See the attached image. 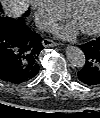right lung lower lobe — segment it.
Listing matches in <instances>:
<instances>
[{"mask_svg": "<svg viewBox=\"0 0 100 118\" xmlns=\"http://www.w3.org/2000/svg\"><path fill=\"white\" fill-rule=\"evenodd\" d=\"M42 38L33 32L24 18L0 20V79L20 84L39 72L38 57Z\"/></svg>", "mask_w": 100, "mask_h": 118, "instance_id": "1", "label": "right lung lower lobe"}]
</instances>
